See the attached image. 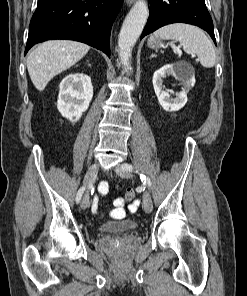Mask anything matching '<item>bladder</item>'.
<instances>
[{"label": "bladder", "mask_w": 247, "mask_h": 296, "mask_svg": "<svg viewBox=\"0 0 247 296\" xmlns=\"http://www.w3.org/2000/svg\"><path fill=\"white\" fill-rule=\"evenodd\" d=\"M137 228V223L132 220H122V221H114L103 224L100 227V230L103 233L107 234H115V233H123L135 230Z\"/></svg>", "instance_id": "1"}]
</instances>
